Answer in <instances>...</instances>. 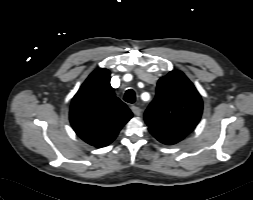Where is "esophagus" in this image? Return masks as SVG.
<instances>
[{
  "label": "esophagus",
  "instance_id": "1",
  "mask_svg": "<svg viewBox=\"0 0 253 200\" xmlns=\"http://www.w3.org/2000/svg\"><path fill=\"white\" fill-rule=\"evenodd\" d=\"M131 110L136 116H140L142 113L141 109L135 105L131 106Z\"/></svg>",
  "mask_w": 253,
  "mask_h": 200
}]
</instances>
